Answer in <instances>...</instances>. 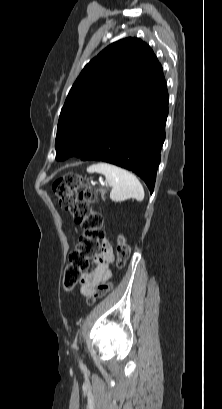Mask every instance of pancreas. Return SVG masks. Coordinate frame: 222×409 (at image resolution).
I'll list each match as a JSON object with an SVG mask.
<instances>
[{
  "mask_svg": "<svg viewBox=\"0 0 222 409\" xmlns=\"http://www.w3.org/2000/svg\"><path fill=\"white\" fill-rule=\"evenodd\" d=\"M99 192L101 193V197H102V199L104 200L105 199V193H106V190L105 189H100L99 190Z\"/></svg>",
  "mask_w": 222,
  "mask_h": 409,
  "instance_id": "pancreas-1",
  "label": "pancreas"
}]
</instances>
